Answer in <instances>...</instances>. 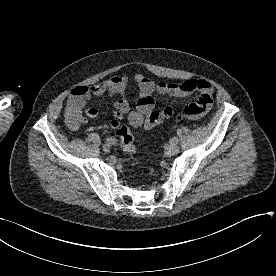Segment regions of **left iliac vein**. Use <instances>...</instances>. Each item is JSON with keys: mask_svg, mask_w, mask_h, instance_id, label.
<instances>
[{"mask_svg": "<svg viewBox=\"0 0 276 276\" xmlns=\"http://www.w3.org/2000/svg\"><path fill=\"white\" fill-rule=\"evenodd\" d=\"M171 155H176L179 153V146L177 144H172L170 147Z\"/></svg>", "mask_w": 276, "mask_h": 276, "instance_id": "1", "label": "left iliac vein"}]
</instances>
